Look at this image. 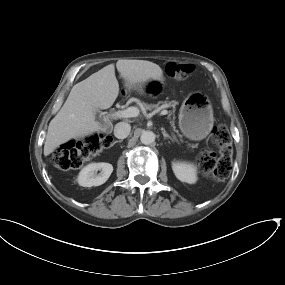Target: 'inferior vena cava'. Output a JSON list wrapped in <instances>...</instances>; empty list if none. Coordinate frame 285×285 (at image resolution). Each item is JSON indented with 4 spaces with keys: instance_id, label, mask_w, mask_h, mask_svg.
Here are the masks:
<instances>
[{
    "instance_id": "inferior-vena-cava-1",
    "label": "inferior vena cava",
    "mask_w": 285,
    "mask_h": 285,
    "mask_svg": "<svg viewBox=\"0 0 285 285\" xmlns=\"http://www.w3.org/2000/svg\"><path fill=\"white\" fill-rule=\"evenodd\" d=\"M131 131V126L127 122H119L115 125L114 135L118 139L126 138Z\"/></svg>"
}]
</instances>
